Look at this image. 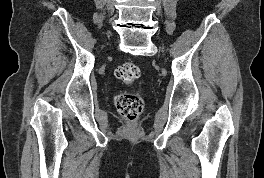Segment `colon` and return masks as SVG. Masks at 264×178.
Instances as JSON below:
<instances>
[{"instance_id":"5ec220e1","label":"colon","mask_w":264,"mask_h":178,"mask_svg":"<svg viewBox=\"0 0 264 178\" xmlns=\"http://www.w3.org/2000/svg\"><path fill=\"white\" fill-rule=\"evenodd\" d=\"M115 76L123 83L131 85L140 77V68L133 62H125L116 68ZM115 105L118 112L129 121H134L143 109L141 97L132 92L117 95Z\"/></svg>"}]
</instances>
